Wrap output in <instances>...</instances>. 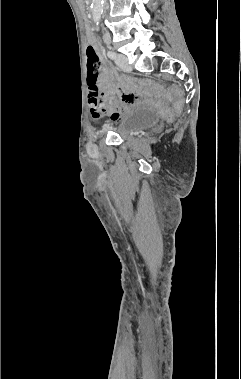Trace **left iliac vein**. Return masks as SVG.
<instances>
[{
	"mask_svg": "<svg viewBox=\"0 0 241 379\" xmlns=\"http://www.w3.org/2000/svg\"><path fill=\"white\" fill-rule=\"evenodd\" d=\"M115 63L124 71H131L132 68L128 63V58L123 54H117L115 57Z\"/></svg>",
	"mask_w": 241,
	"mask_h": 379,
	"instance_id": "left-iliac-vein-1",
	"label": "left iliac vein"
}]
</instances>
